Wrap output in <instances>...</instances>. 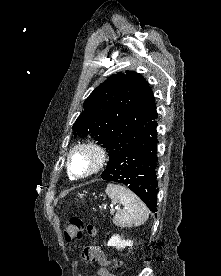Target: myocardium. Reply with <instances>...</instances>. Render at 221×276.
Masks as SVG:
<instances>
[{"label": "myocardium", "instance_id": "obj_1", "mask_svg": "<svg viewBox=\"0 0 221 276\" xmlns=\"http://www.w3.org/2000/svg\"><path fill=\"white\" fill-rule=\"evenodd\" d=\"M77 153H86L91 158L90 168L82 174H77L72 169V158ZM106 163V153L102 147L94 142H81L74 145L67 154L66 167L70 176L75 179H85L99 173Z\"/></svg>", "mask_w": 221, "mask_h": 276}]
</instances>
